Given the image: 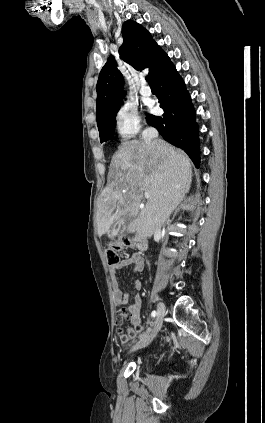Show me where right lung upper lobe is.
Returning a JSON list of instances; mask_svg holds the SVG:
<instances>
[{"mask_svg":"<svg viewBox=\"0 0 265 423\" xmlns=\"http://www.w3.org/2000/svg\"><path fill=\"white\" fill-rule=\"evenodd\" d=\"M123 44L119 49L121 59L137 70L149 68L154 76L170 62L167 54L152 39L151 34L140 24L128 20L122 27ZM124 80L111 55L103 66L97 82V124L116 109L124 98Z\"/></svg>","mask_w":265,"mask_h":423,"instance_id":"right-lung-upper-lobe-1","label":"right lung upper lobe"}]
</instances>
